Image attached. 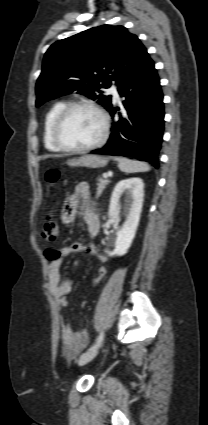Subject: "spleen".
Returning <instances> with one entry per match:
<instances>
[{
  "label": "spleen",
  "mask_w": 208,
  "mask_h": 425,
  "mask_svg": "<svg viewBox=\"0 0 208 425\" xmlns=\"http://www.w3.org/2000/svg\"><path fill=\"white\" fill-rule=\"evenodd\" d=\"M116 160L118 161L119 169L125 173L147 172L150 170V166L145 162L123 157H118Z\"/></svg>",
  "instance_id": "spleen-1"
}]
</instances>
